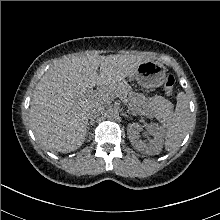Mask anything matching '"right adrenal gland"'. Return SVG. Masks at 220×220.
I'll return each instance as SVG.
<instances>
[{"label": "right adrenal gland", "mask_w": 220, "mask_h": 220, "mask_svg": "<svg viewBox=\"0 0 220 220\" xmlns=\"http://www.w3.org/2000/svg\"><path fill=\"white\" fill-rule=\"evenodd\" d=\"M95 119H91L88 123H87V129L89 130L90 127L94 124Z\"/></svg>", "instance_id": "1"}]
</instances>
